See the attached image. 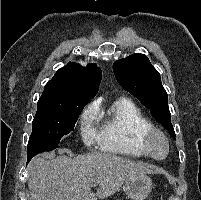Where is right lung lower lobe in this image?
I'll list each match as a JSON object with an SVG mask.
<instances>
[{
	"mask_svg": "<svg viewBox=\"0 0 201 200\" xmlns=\"http://www.w3.org/2000/svg\"><path fill=\"white\" fill-rule=\"evenodd\" d=\"M58 147V144H45V143H33L27 146V163L38 153L43 151H51Z\"/></svg>",
	"mask_w": 201,
	"mask_h": 200,
	"instance_id": "98d812e1",
	"label": "right lung lower lobe"
}]
</instances>
